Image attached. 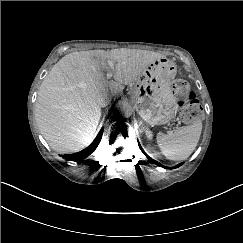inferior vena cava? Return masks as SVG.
Segmentation results:
<instances>
[{"label": "inferior vena cava", "instance_id": "602c4592", "mask_svg": "<svg viewBox=\"0 0 243 243\" xmlns=\"http://www.w3.org/2000/svg\"><path fill=\"white\" fill-rule=\"evenodd\" d=\"M96 100L101 107H105L109 103L108 95L105 92L98 93Z\"/></svg>", "mask_w": 243, "mask_h": 243}]
</instances>
